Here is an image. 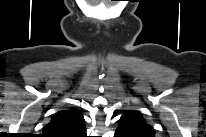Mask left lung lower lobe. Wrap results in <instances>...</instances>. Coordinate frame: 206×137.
I'll return each mask as SVG.
<instances>
[{
	"mask_svg": "<svg viewBox=\"0 0 206 137\" xmlns=\"http://www.w3.org/2000/svg\"><path fill=\"white\" fill-rule=\"evenodd\" d=\"M115 136L116 137H131L128 133H124L120 131H116Z\"/></svg>",
	"mask_w": 206,
	"mask_h": 137,
	"instance_id": "0a47b994",
	"label": "left lung lower lobe"
}]
</instances>
